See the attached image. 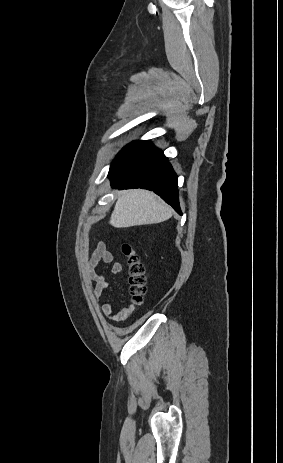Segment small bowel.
<instances>
[{"label": "small bowel", "instance_id": "c3829d8e", "mask_svg": "<svg viewBox=\"0 0 283 463\" xmlns=\"http://www.w3.org/2000/svg\"><path fill=\"white\" fill-rule=\"evenodd\" d=\"M104 263L111 266V271L115 274L122 272V264L120 262L114 261L113 254L107 250L106 244L102 241H99L88 258L87 261V271L92 281L94 282L93 287V296L96 300L100 298L103 291L109 287V282L103 275H99L96 272V268L99 263ZM115 301L109 300L101 306V313L103 316L118 320L126 313L128 308L122 309L118 313H114Z\"/></svg>", "mask_w": 283, "mask_h": 463}]
</instances>
